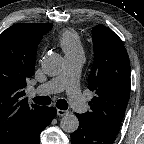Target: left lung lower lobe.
I'll list each match as a JSON object with an SVG mask.
<instances>
[{
  "mask_svg": "<svg viewBox=\"0 0 144 144\" xmlns=\"http://www.w3.org/2000/svg\"><path fill=\"white\" fill-rule=\"evenodd\" d=\"M78 129L71 134L72 144H113L116 134L102 131L77 114Z\"/></svg>",
  "mask_w": 144,
  "mask_h": 144,
  "instance_id": "1",
  "label": "left lung lower lobe"
}]
</instances>
